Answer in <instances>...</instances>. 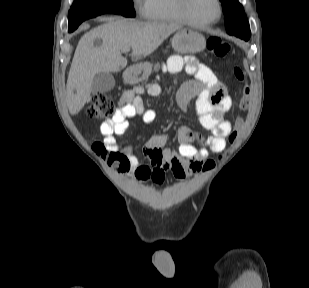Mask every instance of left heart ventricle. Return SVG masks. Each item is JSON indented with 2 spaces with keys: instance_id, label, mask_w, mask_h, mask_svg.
Masks as SVG:
<instances>
[{
  "instance_id": "1",
  "label": "left heart ventricle",
  "mask_w": 309,
  "mask_h": 288,
  "mask_svg": "<svg viewBox=\"0 0 309 288\" xmlns=\"http://www.w3.org/2000/svg\"><path fill=\"white\" fill-rule=\"evenodd\" d=\"M189 8L193 17L202 22L214 20L218 16L216 0H190Z\"/></svg>"
}]
</instances>
